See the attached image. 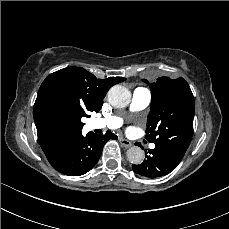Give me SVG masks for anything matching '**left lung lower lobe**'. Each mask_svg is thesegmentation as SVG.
Returning a JSON list of instances; mask_svg holds the SVG:
<instances>
[{"label": "left lung lower lobe", "mask_w": 229, "mask_h": 229, "mask_svg": "<svg viewBox=\"0 0 229 229\" xmlns=\"http://www.w3.org/2000/svg\"><path fill=\"white\" fill-rule=\"evenodd\" d=\"M137 145L141 146L137 143ZM146 159L140 165H132L135 173L148 178L165 176L172 172L180 163L171 158L167 150L156 145L154 149L145 152Z\"/></svg>", "instance_id": "0a47b994"}]
</instances>
